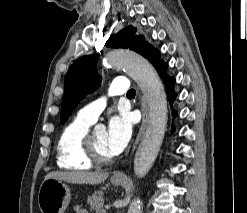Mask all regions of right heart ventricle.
Here are the masks:
<instances>
[{
	"label": "right heart ventricle",
	"mask_w": 247,
	"mask_h": 213,
	"mask_svg": "<svg viewBox=\"0 0 247 213\" xmlns=\"http://www.w3.org/2000/svg\"><path fill=\"white\" fill-rule=\"evenodd\" d=\"M91 122L78 116L61 131L57 141L56 161L59 168L72 171H85L92 168L82 153V140L89 131Z\"/></svg>",
	"instance_id": "e07e8e85"
}]
</instances>
